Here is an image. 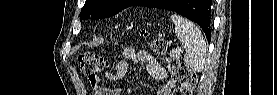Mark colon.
Wrapping results in <instances>:
<instances>
[{"label": "colon", "instance_id": "obj_1", "mask_svg": "<svg viewBox=\"0 0 277 95\" xmlns=\"http://www.w3.org/2000/svg\"><path fill=\"white\" fill-rule=\"evenodd\" d=\"M147 37V32H143ZM151 50L157 55H165L167 52L166 45L162 39H154L151 42ZM81 72L93 79L97 74L102 72L106 67V60L103 56L94 53H87L79 56ZM169 71L174 78L179 80L180 86L174 93L175 95H191L197 84V75L185 64L171 60L168 64Z\"/></svg>", "mask_w": 277, "mask_h": 95}]
</instances>
